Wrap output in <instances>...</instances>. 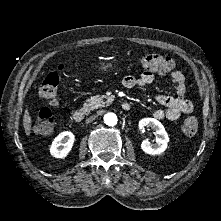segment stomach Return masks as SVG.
Returning <instances> with one entry per match:
<instances>
[{
  "label": "stomach",
  "instance_id": "obj_1",
  "mask_svg": "<svg viewBox=\"0 0 221 221\" xmlns=\"http://www.w3.org/2000/svg\"><path fill=\"white\" fill-rule=\"evenodd\" d=\"M110 67H111L110 64H103L102 67H101V70L106 71V70H108Z\"/></svg>",
  "mask_w": 221,
  "mask_h": 221
}]
</instances>
